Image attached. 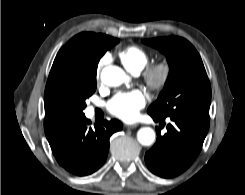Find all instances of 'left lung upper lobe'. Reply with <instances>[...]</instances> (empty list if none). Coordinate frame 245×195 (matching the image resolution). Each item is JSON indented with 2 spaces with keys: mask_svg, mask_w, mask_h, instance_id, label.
Masks as SVG:
<instances>
[{
  "mask_svg": "<svg viewBox=\"0 0 245 195\" xmlns=\"http://www.w3.org/2000/svg\"><path fill=\"white\" fill-rule=\"evenodd\" d=\"M166 55L168 80L148 113L158 118L184 117L210 121L211 87L202 59L194 46L181 37L143 40Z\"/></svg>",
  "mask_w": 245,
  "mask_h": 195,
  "instance_id": "obj_1",
  "label": "left lung upper lobe"
}]
</instances>
